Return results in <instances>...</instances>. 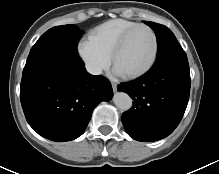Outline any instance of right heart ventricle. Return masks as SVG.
I'll use <instances>...</instances> for the list:
<instances>
[{"label":"right heart ventricle","instance_id":"1","mask_svg":"<svg viewBox=\"0 0 219 174\" xmlns=\"http://www.w3.org/2000/svg\"><path fill=\"white\" fill-rule=\"evenodd\" d=\"M138 24L121 18L108 20L92 29L88 38L111 56L121 36Z\"/></svg>","mask_w":219,"mask_h":174}]
</instances>
